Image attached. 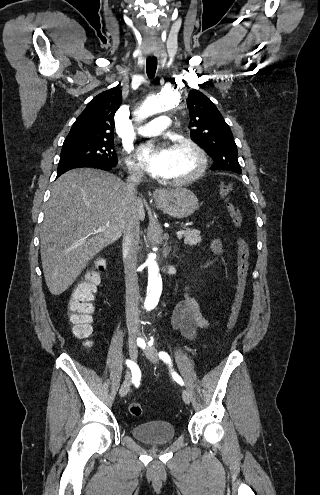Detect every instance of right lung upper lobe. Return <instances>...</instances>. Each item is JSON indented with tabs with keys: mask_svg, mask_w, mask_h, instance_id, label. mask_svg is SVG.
Listing matches in <instances>:
<instances>
[{
	"mask_svg": "<svg viewBox=\"0 0 320 495\" xmlns=\"http://www.w3.org/2000/svg\"><path fill=\"white\" fill-rule=\"evenodd\" d=\"M122 91L118 87L95 96L76 119L65 138L71 140H114V115L121 105Z\"/></svg>",
	"mask_w": 320,
	"mask_h": 495,
	"instance_id": "right-lung-upper-lobe-1",
	"label": "right lung upper lobe"
}]
</instances>
